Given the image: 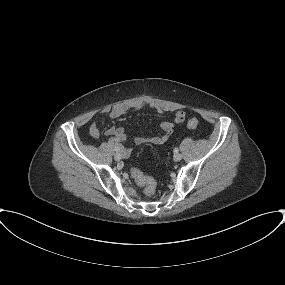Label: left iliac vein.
Here are the masks:
<instances>
[{
    "instance_id": "4c4485c4",
    "label": "left iliac vein",
    "mask_w": 285,
    "mask_h": 285,
    "mask_svg": "<svg viewBox=\"0 0 285 285\" xmlns=\"http://www.w3.org/2000/svg\"><path fill=\"white\" fill-rule=\"evenodd\" d=\"M182 159V155L181 154H179V153H175L174 154V160L175 161H180Z\"/></svg>"
}]
</instances>
